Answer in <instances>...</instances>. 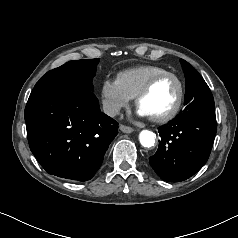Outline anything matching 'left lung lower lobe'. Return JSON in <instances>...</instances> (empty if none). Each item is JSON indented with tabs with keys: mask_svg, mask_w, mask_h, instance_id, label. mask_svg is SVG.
Here are the masks:
<instances>
[{
	"mask_svg": "<svg viewBox=\"0 0 238 238\" xmlns=\"http://www.w3.org/2000/svg\"><path fill=\"white\" fill-rule=\"evenodd\" d=\"M161 140L150 165L157 175L179 182L197 173L207 162L216 135L215 112L179 117L158 128Z\"/></svg>",
	"mask_w": 238,
	"mask_h": 238,
	"instance_id": "0a47b994",
	"label": "left lung lower lobe"
}]
</instances>
